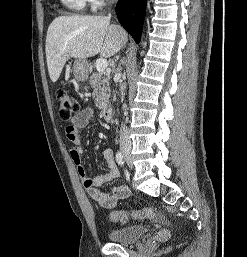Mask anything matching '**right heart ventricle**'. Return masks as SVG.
Segmentation results:
<instances>
[{"instance_id": "1", "label": "right heart ventricle", "mask_w": 247, "mask_h": 257, "mask_svg": "<svg viewBox=\"0 0 247 257\" xmlns=\"http://www.w3.org/2000/svg\"><path fill=\"white\" fill-rule=\"evenodd\" d=\"M63 5L74 12H82L87 5L86 0H61Z\"/></svg>"}]
</instances>
